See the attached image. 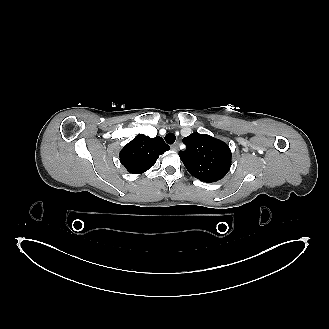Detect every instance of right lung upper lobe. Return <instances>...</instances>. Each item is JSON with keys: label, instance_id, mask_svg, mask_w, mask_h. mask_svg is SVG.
<instances>
[{"label": "right lung upper lobe", "instance_id": "right-lung-upper-lobe-1", "mask_svg": "<svg viewBox=\"0 0 329 329\" xmlns=\"http://www.w3.org/2000/svg\"><path fill=\"white\" fill-rule=\"evenodd\" d=\"M169 149L170 147L159 136L149 138L144 134H138L120 151V162L130 173L140 174L152 167L159 155Z\"/></svg>", "mask_w": 329, "mask_h": 329}]
</instances>
